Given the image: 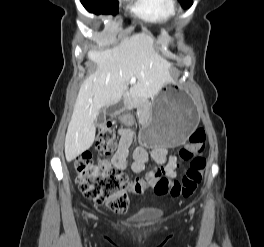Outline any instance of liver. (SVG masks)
I'll use <instances>...</instances> for the list:
<instances>
[{"label": "liver", "instance_id": "liver-1", "mask_svg": "<svg viewBox=\"0 0 264 247\" xmlns=\"http://www.w3.org/2000/svg\"><path fill=\"white\" fill-rule=\"evenodd\" d=\"M153 44L154 39L142 32L124 37L112 49L88 52V59L97 69L79 89L65 137L68 162L92 146L100 110L120 101L131 79L137 81L131 89L132 97L142 100L153 98L171 82L170 63L154 50Z\"/></svg>", "mask_w": 264, "mask_h": 247}]
</instances>
